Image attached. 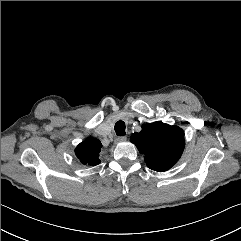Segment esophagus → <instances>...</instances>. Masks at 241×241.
<instances>
[{"label": "esophagus", "mask_w": 241, "mask_h": 241, "mask_svg": "<svg viewBox=\"0 0 241 241\" xmlns=\"http://www.w3.org/2000/svg\"><path fill=\"white\" fill-rule=\"evenodd\" d=\"M126 139H127L126 136H119V137H117V138L115 139V141H116V142H123V141H125Z\"/></svg>", "instance_id": "34e87169"}]
</instances>
